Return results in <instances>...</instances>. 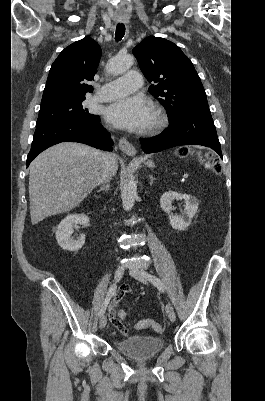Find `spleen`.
Listing matches in <instances>:
<instances>
[{
	"instance_id": "3e777b00",
	"label": "spleen",
	"mask_w": 265,
	"mask_h": 401,
	"mask_svg": "<svg viewBox=\"0 0 265 401\" xmlns=\"http://www.w3.org/2000/svg\"><path fill=\"white\" fill-rule=\"evenodd\" d=\"M199 160H201V162H203L202 156H200ZM205 166H206V168H208L209 164H207V162H206Z\"/></svg>"
}]
</instances>
